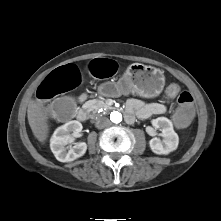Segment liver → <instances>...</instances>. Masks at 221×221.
Masks as SVG:
<instances>
[{
	"mask_svg": "<svg viewBox=\"0 0 221 221\" xmlns=\"http://www.w3.org/2000/svg\"><path fill=\"white\" fill-rule=\"evenodd\" d=\"M27 117L35 138L44 143L49 134L48 116L42 104L31 100L28 104Z\"/></svg>",
	"mask_w": 221,
	"mask_h": 221,
	"instance_id": "1",
	"label": "liver"
}]
</instances>
